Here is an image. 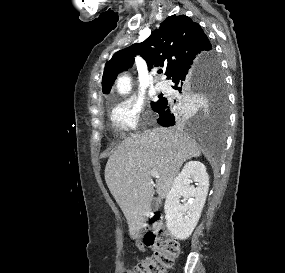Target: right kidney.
I'll return each instance as SVG.
<instances>
[{
    "instance_id": "obj_1",
    "label": "right kidney",
    "mask_w": 285,
    "mask_h": 273,
    "mask_svg": "<svg viewBox=\"0 0 285 273\" xmlns=\"http://www.w3.org/2000/svg\"><path fill=\"white\" fill-rule=\"evenodd\" d=\"M195 183L196 187L192 185ZM209 189V176L204 164L189 161L175 178L165 205V219L172 236L187 239L200 218ZM181 197L184 198L181 200Z\"/></svg>"
}]
</instances>
